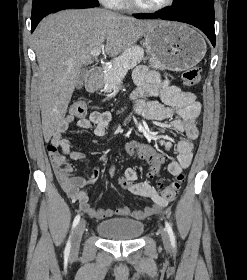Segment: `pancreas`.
Wrapping results in <instances>:
<instances>
[{"instance_id": "pancreas-1", "label": "pancreas", "mask_w": 247, "mask_h": 280, "mask_svg": "<svg viewBox=\"0 0 247 280\" xmlns=\"http://www.w3.org/2000/svg\"><path fill=\"white\" fill-rule=\"evenodd\" d=\"M144 58V51L139 46H132L117 57L111 67L104 69L105 91L111 92L122 81L125 73L134 68Z\"/></svg>"}]
</instances>
